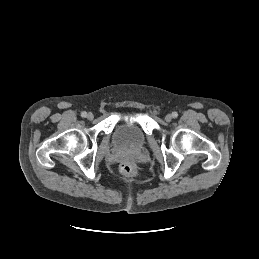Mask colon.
Segmentation results:
<instances>
[{"instance_id":"obj_1","label":"colon","mask_w":259,"mask_h":259,"mask_svg":"<svg viewBox=\"0 0 259 259\" xmlns=\"http://www.w3.org/2000/svg\"><path fill=\"white\" fill-rule=\"evenodd\" d=\"M120 171L127 176H132L136 173L135 166L131 162H122L120 164Z\"/></svg>"}]
</instances>
